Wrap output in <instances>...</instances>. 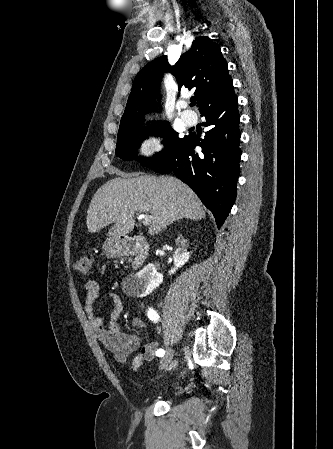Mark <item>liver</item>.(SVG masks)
<instances>
[{
	"label": "liver",
	"mask_w": 333,
	"mask_h": 449,
	"mask_svg": "<svg viewBox=\"0 0 333 449\" xmlns=\"http://www.w3.org/2000/svg\"><path fill=\"white\" fill-rule=\"evenodd\" d=\"M117 174L121 177L106 182L91 200L86 221L90 233L114 223L109 235L113 238L125 236L134 228L136 212L151 214L150 235L157 234L175 220H201L206 216L196 194L174 177Z\"/></svg>",
	"instance_id": "6515ba94"
}]
</instances>
